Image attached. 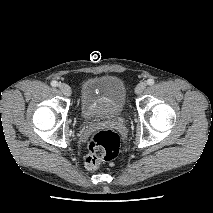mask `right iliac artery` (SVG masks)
Wrapping results in <instances>:
<instances>
[{
  "label": "right iliac artery",
  "mask_w": 213,
  "mask_h": 213,
  "mask_svg": "<svg viewBox=\"0 0 213 213\" xmlns=\"http://www.w3.org/2000/svg\"><path fill=\"white\" fill-rule=\"evenodd\" d=\"M51 86L57 87V86H58V82H57V81H52V82H51Z\"/></svg>",
  "instance_id": "82829eb1"
}]
</instances>
